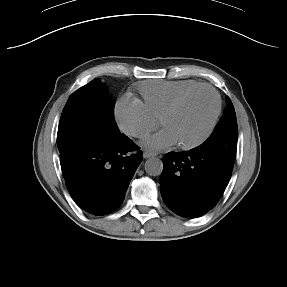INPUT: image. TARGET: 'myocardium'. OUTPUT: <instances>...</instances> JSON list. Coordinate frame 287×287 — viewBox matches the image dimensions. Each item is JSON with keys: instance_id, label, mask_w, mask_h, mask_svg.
Returning a JSON list of instances; mask_svg holds the SVG:
<instances>
[{"instance_id": "obj_1", "label": "myocardium", "mask_w": 287, "mask_h": 287, "mask_svg": "<svg viewBox=\"0 0 287 287\" xmlns=\"http://www.w3.org/2000/svg\"><path fill=\"white\" fill-rule=\"evenodd\" d=\"M201 90L209 91L213 95L214 102H215L214 112H213L212 118L210 120V123H209L207 129L199 138H197L196 140L191 141L189 143H179L178 144V147L183 149V150H190V149H194V148L200 146L210 137V135L214 131V128L218 122V119H219V116L221 113V98H220L219 93L213 87L206 85V84H200L196 87H193V88L187 90L185 93H183L180 97H178L173 102V104L167 109V111L163 114V116L160 119L161 125L163 126L164 122L168 118L173 116L190 96H192L193 94H195L196 92L201 91Z\"/></svg>"}]
</instances>
